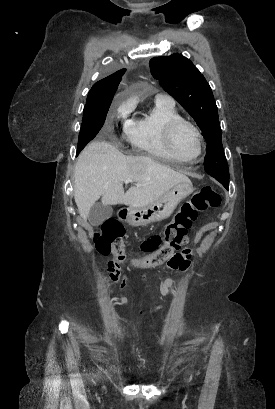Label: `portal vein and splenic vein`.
<instances>
[{"instance_id":"obj_1","label":"portal vein and splenic vein","mask_w":275,"mask_h":409,"mask_svg":"<svg viewBox=\"0 0 275 409\" xmlns=\"http://www.w3.org/2000/svg\"><path fill=\"white\" fill-rule=\"evenodd\" d=\"M125 184H128V182H133L132 178H124ZM138 186H141V184H138Z\"/></svg>"}]
</instances>
